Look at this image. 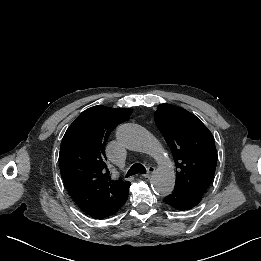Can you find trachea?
<instances>
[{
	"label": "trachea",
	"instance_id": "1",
	"mask_svg": "<svg viewBox=\"0 0 261 261\" xmlns=\"http://www.w3.org/2000/svg\"><path fill=\"white\" fill-rule=\"evenodd\" d=\"M146 173V168L140 164V163H135L131 166L129 171L126 174V177L135 175V174H145Z\"/></svg>",
	"mask_w": 261,
	"mask_h": 261
}]
</instances>
